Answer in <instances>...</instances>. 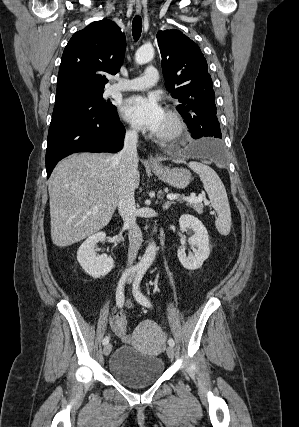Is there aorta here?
<instances>
[{
    "mask_svg": "<svg viewBox=\"0 0 299 427\" xmlns=\"http://www.w3.org/2000/svg\"><path fill=\"white\" fill-rule=\"evenodd\" d=\"M154 57V48L151 45L141 46L135 54V61L137 64H145L151 61ZM157 247L154 242L149 243L142 259L139 262V267L142 270H147L153 263L156 256Z\"/></svg>",
    "mask_w": 299,
    "mask_h": 427,
    "instance_id": "1",
    "label": "aorta"
}]
</instances>
